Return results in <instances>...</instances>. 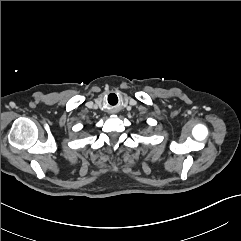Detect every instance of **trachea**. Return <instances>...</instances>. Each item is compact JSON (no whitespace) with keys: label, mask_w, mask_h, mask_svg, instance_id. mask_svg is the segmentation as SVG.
<instances>
[{"label":"trachea","mask_w":241,"mask_h":241,"mask_svg":"<svg viewBox=\"0 0 241 241\" xmlns=\"http://www.w3.org/2000/svg\"><path fill=\"white\" fill-rule=\"evenodd\" d=\"M107 101L111 105H116L119 102V96L116 93H110L107 96Z\"/></svg>","instance_id":"3493384b"}]
</instances>
